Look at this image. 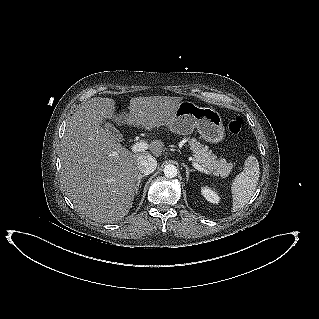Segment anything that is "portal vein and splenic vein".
<instances>
[{
	"mask_svg": "<svg viewBox=\"0 0 319 319\" xmlns=\"http://www.w3.org/2000/svg\"><path fill=\"white\" fill-rule=\"evenodd\" d=\"M149 147V145L144 142V141H140V142H137L135 144H133L131 150L132 152L136 153V152H142V151H145L147 150ZM193 167L195 169H197L198 171L200 172H203L205 174H210V172L207 170V169H204L201 165H199L198 163L196 162H193Z\"/></svg>",
	"mask_w": 319,
	"mask_h": 319,
	"instance_id": "18ae733b",
	"label": "portal vein and splenic vein"
}]
</instances>
